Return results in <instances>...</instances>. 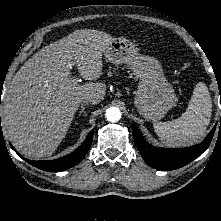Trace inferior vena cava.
Instances as JSON below:
<instances>
[{"instance_id": "602c4592", "label": "inferior vena cava", "mask_w": 221, "mask_h": 221, "mask_svg": "<svg viewBox=\"0 0 221 221\" xmlns=\"http://www.w3.org/2000/svg\"><path fill=\"white\" fill-rule=\"evenodd\" d=\"M97 103V101L95 99H85L83 100V103L88 104V103Z\"/></svg>"}]
</instances>
